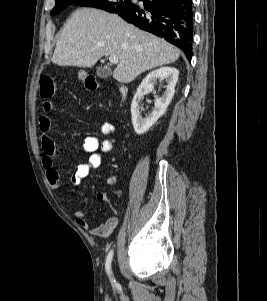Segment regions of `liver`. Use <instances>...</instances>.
<instances>
[{
	"instance_id": "liver-1",
	"label": "liver",
	"mask_w": 267,
	"mask_h": 301,
	"mask_svg": "<svg viewBox=\"0 0 267 301\" xmlns=\"http://www.w3.org/2000/svg\"><path fill=\"white\" fill-rule=\"evenodd\" d=\"M103 56L118 57L113 77L130 83L141 73L175 62L178 50L116 14L77 9L63 27L52 62L59 66L93 67Z\"/></svg>"
}]
</instances>
